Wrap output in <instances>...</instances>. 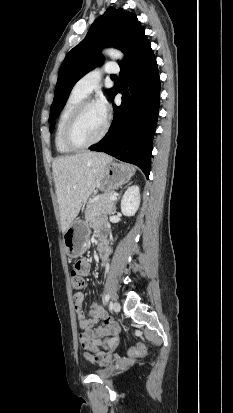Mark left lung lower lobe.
I'll use <instances>...</instances> for the list:
<instances>
[{"instance_id":"0a47b994","label":"left lung lower lobe","mask_w":233,"mask_h":413,"mask_svg":"<svg viewBox=\"0 0 233 413\" xmlns=\"http://www.w3.org/2000/svg\"><path fill=\"white\" fill-rule=\"evenodd\" d=\"M121 85L111 98L122 93L114 106V118L106 136L90 149L105 152L137 165L149 177L153 135L160 103V79L147 37L120 63Z\"/></svg>"}]
</instances>
